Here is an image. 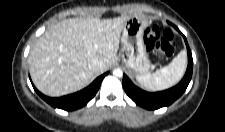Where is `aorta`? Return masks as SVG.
Returning a JSON list of instances; mask_svg holds the SVG:
<instances>
[{"instance_id": "762f6f07", "label": "aorta", "mask_w": 225, "mask_h": 132, "mask_svg": "<svg viewBox=\"0 0 225 132\" xmlns=\"http://www.w3.org/2000/svg\"><path fill=\"white\" fill-rule=\"evenodd\" d=\"M113 75L116 77H122L123 71L119 68L113 70Z\"/></svg>"}]
</instances>
